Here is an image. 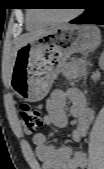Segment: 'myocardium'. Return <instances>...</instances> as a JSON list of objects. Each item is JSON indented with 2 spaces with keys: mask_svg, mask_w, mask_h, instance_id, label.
<instances>
[{
  "mask_svg": "<svg viewBox=\"0 0 104 169\" xmlns=\"http://www.w3.org/2000/svg\"><path fill=\"white\" fill-rule=\"evenodd\" d=\"M76 15H77V12L73 11L72 13H70V14L64 16V17L57 18V19H49V18L42 16V15H38V18L41 21H43L44 23H47V24H57V23H63V22L70 21L73 18H75Z\"/></svg>",
  "mask_w": 104,
  "mask_h": 169,
  "instance_id": "f54148a6",
  "label": "myocardium"
}]
</instances>
